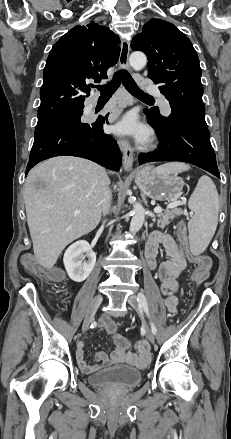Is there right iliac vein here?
Wrapping results in <instances>:
<instances>
[{"label":"right iliac vein","mask_w":231,"mask_h":439,"mask_svg":"<svg viewBox=\"0 0 231 439\" xmlns=\"http://www.w3.org/2000/svg\"><path fill=\"white\" fill-rule=\"evenodd\" d=\"M102 300H103V297L101 294H97L94 297V299L92 300V302L88 308V311L86 313V316L84 318L83 325H82L83 332H85L88 329V327H89L90 323L92 322L94 315H95L98 307L100 306Z\"/></svg>","instance_id":"right-iliac-vein-1"}]
</instances>
